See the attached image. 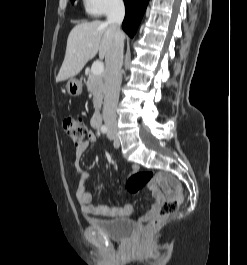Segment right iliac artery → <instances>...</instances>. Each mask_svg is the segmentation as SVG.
<instances>
[{
	"label": "right iliac artery",
	"mask_w": 247,
	"mask_h": 265,
	"mask_svg": "<svg viewBox=\"0 0 247 265\" xmlns=\"http://www.w3.org/2000/svg\"><path fill=\"white\" fill-rule=\"evenodd\" d=\"M101 131H102L103 133H106V132L108 131L107 126L103 125V126L101 127Z\"/></svg>",
	"instance_id": "right-iliac-artery-1"
}]
</instances>
